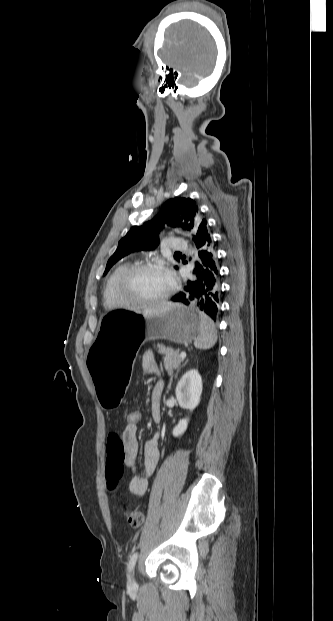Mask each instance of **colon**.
Wrapping results in <instances>:
<instances>
[{
  "label": "colon",
  "instance_id": "1",
  "mask_svg": "<svg viewBox=\"0 0 333 621\" xmlns=\"http://www.w3.org/2000/svg\"><path fill=\"white\" fill-rule=\"evenodd\" d=\"M126 421L128 424L137 425L141 421V412L135 408H129L126 412ZM126 518L132 527H139L143 523V516L135 510L126 511Z\"/></svg>",
  "mask_w": 333,
  "mask_h": 621
}]
</instances>
